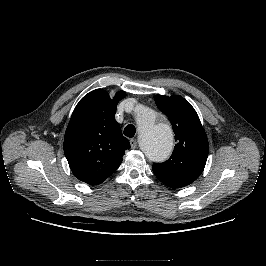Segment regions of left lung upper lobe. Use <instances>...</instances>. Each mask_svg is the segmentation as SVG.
<instances>
[{"label":"left lung upper lobe","mask_w":266,"mask_h":266,"mask_svg":"<svg viewBox=\"0 0 266 266\" xmlns=\"http://www.w3.org/2000/svg\"><path fill=\"white\" fill-rule=\"evenodd\" d=\"M158 108L175 133L174 151L163 163L152 165L155 176L171 188L191 184L202 173L209 152L206 133L194 108L181 96H155Z\"/></svg>","instance_id":"left-lung-upper-lobe-1"}]
</instances>
